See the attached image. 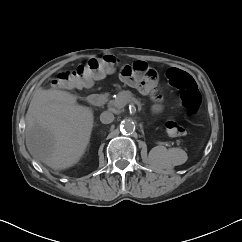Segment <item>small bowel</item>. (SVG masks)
I'll use <instances>...</instances> for the list:
<instances>
[{"mask_svg":"<svg viewBox=\"0 0 242 242\" xmlns=\"http://www.w3.org/2000/svg\"><path fill=\"white\" fill-rule=\"evenodd\" d=\"M140 63H144V64H146V63L143 62V61H137V62H135L134 65H137V64H140ZM120 76H121V78H122V79H123L128 85H130V86H132V87H140V83H139L137 80H135V79H133V80L125 79V78L121 75V72H120ZM142 89H143V90H147V88H145V87H142Z\"/></svg>","mask_w":242,"mask_h":242,"instance_id":"obj_1","label":"small bowel"}]
</instances>
